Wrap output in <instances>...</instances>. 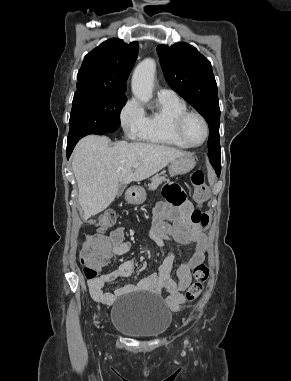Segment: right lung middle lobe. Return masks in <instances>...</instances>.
I'll use <instances>...</instances> for the list:
<instances>
[{"instance_id": "right-lung-middle-lobe-1", "label": "right lung middle lobe", "mask_w": 291, "mask_h": 381, "mask_svg": "<svg viewBox=\"0 0 291 381\" xmlns=\"http://www.w3.org/2000/svg\"><path fill=\"white\" fill-rule=\"evenodd\" d=\"M126 96L100 89H77L69 121L68 142L89 134L115 132L120 126V112Z\"/></svg>"}]
</instances>
